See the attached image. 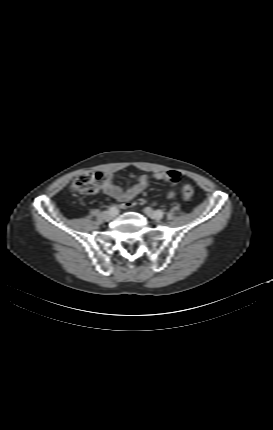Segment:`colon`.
I'll list each match as a JSON object with an SVG mask.
<instances>
[{
    "instance_id": "colon-1",
    "label": "colon",
    "mask_w": 273,
    "mask_h": 430,
    "mask_svg": "<svg viewBox=\"0 0 273 430\" xmlns=\"http://www.w3.org/2000/svg\"><path fill=\"white\" fill-rule=\"evenodd\" d=\"M100 179L101 174L99 172L85 171L74 179L71 190L74 194L79 195L92 194L97 190ZM193 194L194 188L191 185L183 187V196L185 199H191Z\"/></svg>"
}]
</instances>
